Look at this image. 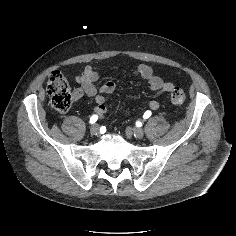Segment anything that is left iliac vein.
<instances>
[{"instance_id":"left-iliac-vein-1","label":"left iliac vein","mask_w":236,"mask_h":236,"mask_svg":"<svg viewBox=\"0 0 236 236\" xmlns=\"http://www.w3.org/2000/svg\"><path fill=\"white\" fill-rule=\"evenodd\" d=\"M132 133L138 139H141L144 137V131L141 128L132 129Z\"/></svg>"}]
</instances>
